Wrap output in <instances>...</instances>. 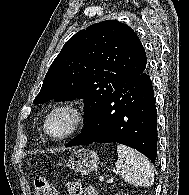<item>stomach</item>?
Here are the masks:
<instances>
[{"label":"stomach","mask_w":189,"mask_h":195,"mask_svg":"<svg viewBox=\"0 0 189 195\" xmlns=\"http://www.w3.org/2000/svg\"><path fill=\"white\" fill-rule=\"evenodd\" d=\"M99 165V156L93 150L79 149L75 151L67 162V166L75 172L88 174L97 170Z\"/></svg>","instance_id":"1"}]
</instances>
